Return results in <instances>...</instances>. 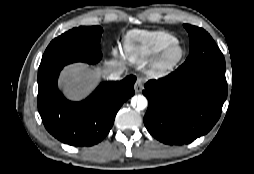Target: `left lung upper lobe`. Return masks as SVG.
I'll return each instance as SVG.
<instances>
[{
	"instance_id": "obj_1",
	"label": "left lung upper lobe",
	"mask_w": 254,
	"mask_h": 174,
	"mask_svg": "<svg viewBox=\"0 0 254 174\" xmlns=\"http://www.w3.org/2000/svg\"><path fill=\"white\" fill-rule=\"evenodd\" d=\"M184 27L190 38L189 56L183 64L184 67L199 64H214L225 67L222 52L204 29L187 24H184Z\"/></svg>"
}]
</instances>
